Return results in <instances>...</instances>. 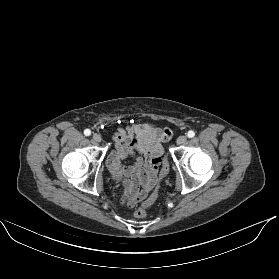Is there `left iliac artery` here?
I'll list each match as a JSON object with an SVG mask.
<instances>
[{
  "label": "left iliac artery",
  "instance_id": "44dca946",
  "mask_svg": "<svg viewBox=\"0 0 279 279\" xmlns=\"http://www.w3.org/2000/svg\"><path fill=\"white\" fill-rule=\"evenodd\" d=\"M187 136H188L189 138H192V137L195 136V132L192 131V130H190V131L187 133Z\"/></svg>",
  "mask_w": 279,
  "mask_h": 279
}]
</instances>
